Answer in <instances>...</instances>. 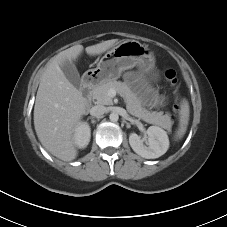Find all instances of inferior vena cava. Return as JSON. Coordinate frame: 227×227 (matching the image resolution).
Segmentation results:
<instances>
[{
  "label": "inferior vena cava",
  "instance_id": "inferior-vena-cava-1",
  "mask_svg": "<svg viewBox=\"0 0 227 227\" xmlns=\"http://www.w3.org/2000/svg\"><path fill=\"white\" fill-rule=\"evenodd\" d=\"M106 112V108L102 105H96L90 109V115L100 117Z\"/></svg>",
  "mask_w": 227,
  "mask_h": 227
}]
</instances>
